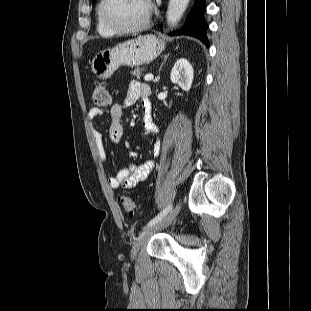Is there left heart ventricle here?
<instances>
[{"label":"left heart ventricle","mask_w":311,"mask_h":311,"mask_svg":"<svg viewBox=\"0 0 311 311\" xmlns=\"http://www.w3.org/2000/svg\"><path fill=\"white\" fill-rule=\"evenodd\" d=\"M148 10L147 0H110L107 15L122 27H132L145 19Z\"/></svg>","instance_id":"left-heart-ventricle-1"}]
</instances>
